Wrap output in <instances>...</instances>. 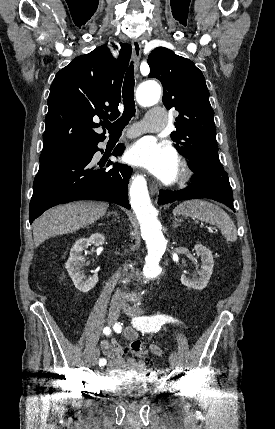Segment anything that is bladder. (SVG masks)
I'll return each instance as SVG.
<instances>
[{
    "label": "bladder",
    "mask_w": 275,
    "mask_h": 429,
    "mask_svg": "<svg viewBox=\"0 0 275 429\" xmlns=\"http://www.w3.org/2000/svg\"><path fill=\"white\" fill-rule=\"evenodd\" d=\"M111 398H148L157 393V384H148V378L114 377L108 379Z\"/></svg>",
    "instance_id": "bladder-1"
}]
</instances>
